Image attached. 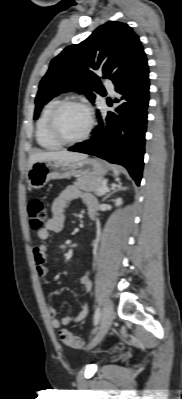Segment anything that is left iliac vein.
Listing matches in <instances>:
<instances>
[{
  "instance_id": "obj_1",
  "label": "left iliac vein",
  "mask_w": 182,
  "mask_h": 399,
  "mask_svg": "<svg viewBox=\"0 0 182 399\" xmlns=\"http://www.w3.org/2000/svg\"><path fill=\"white\" fill-rule=\"evenodd\" d=\"M114 319V308L113 304L110 300H108L105 304L104 311H103V317H102V322L100 325V328L94 338L91 340L89 344V348L95 346L98 344L106 335L108 332L109 328L112 325V321Z\"/></svg>"
}]
</instances>
